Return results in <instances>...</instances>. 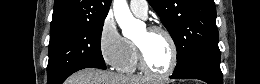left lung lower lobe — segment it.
<instances>
[{
    "mask_svg": "<svg viewBox=\"0 0 260 84\" xmlns=\"http://www.w3.org/2000/svg\"><path fill=\"white\" fill-rule=\"evenodd\" d=\"M171 79H199L208 84H223L220 69V53L203 56L195 60L180 73H173Z\"/></svg>",
    "mask_w": 260,
    "mask_h": 84,
    "instance_id": "obj_1",
    "label": "left lung lower lobe"
}]
</instances>
